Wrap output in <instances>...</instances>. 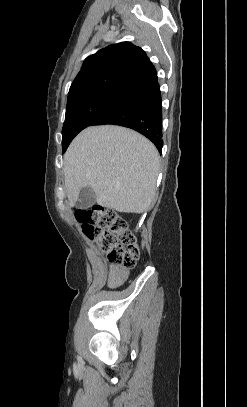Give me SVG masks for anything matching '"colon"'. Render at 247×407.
Listing matches in <instances>:
<instances>
[{
	"instance_id": "5ec220e1",
	"label": "colon",
	"mask_w": 247,
	"mask_h": 407,
	"mask_svg": "<svg viewBox=\"0 0 247 407\" xmlns=\"http://www.w3.org/2000/svg\"><path fill=\"white\" fill-rule=\"evenodd\" d=\"M84 235L94 240L109 261L127 269L139 258V248L126 223L116 213L102 206L79 209L75 213Z\"/></svg>"
}]
</instances>
